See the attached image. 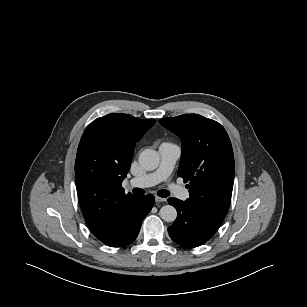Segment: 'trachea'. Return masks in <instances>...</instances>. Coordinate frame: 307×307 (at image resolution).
<instances>
[{"instance_id":"obj_1","label":"trachea","mask_w":307,"mask_h":307,"mask_svg":"<svg viewBox=\"0 0 307 307\" xmlns=\"http://www.w3.org/2000/svg\"><path fill=\"white\" fill-rule=\"evenodd\" d=\"M132 192H133V194H139V195H141V194H144V193H145V190H144V189H141V188H134V189L132 190ZM157 195L160 196V197L165 198V197H168V196L170 195V192H169L168 190L163 189V190H159V191L157 192Z\"/></svg>"}]
</instances>
